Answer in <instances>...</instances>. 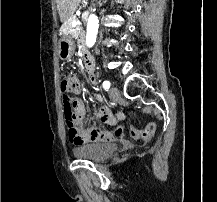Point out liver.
Returning <instances> with one entry per match:
<instances>
[{"instance_id": "liver-1", "label": "liver", "mask_w": 217, "mask_h": 202, "mask_svg": "<svg viewBox=\"0 0 217 202\" xmlns=\"http://www.w3.org/2000/svg\"><path fill=\"white\" fill-rule=\"evenodd\" d=\"M60 22H67L76 12L81 0H56Z\"/></svg>"}]
</instances>
